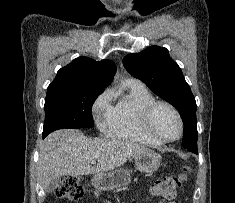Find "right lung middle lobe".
Instances as JSON below:
<instances>
[{
    "label": "right lung middle lobe",
    "instance_id": "obj_1",
    "mask_svg": "<svg viewBox=\"0 0 235 203\" xmlns=\"http://www.w3.org/2000/svg\"><path fill=\"white\" fill-rule=\"evenodd\" d=\"M102 91L91 87L47 89L43 135L62 128L93 127L92 105Z\"/></svg>",
    "mask_w": 235,
    "mask_h": 203
}]
</instances>
